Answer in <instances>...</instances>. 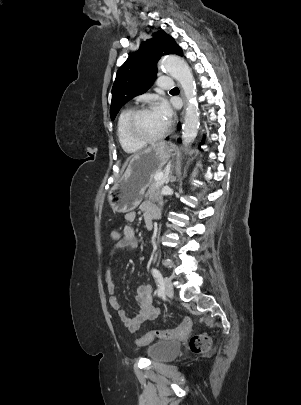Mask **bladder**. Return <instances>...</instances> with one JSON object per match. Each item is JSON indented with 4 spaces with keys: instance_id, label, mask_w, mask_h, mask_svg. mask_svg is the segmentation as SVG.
<instances>
[{
    "instance_id": "bladder-1",
    "label": "bladder",
    "mask_w": 301,
    "mask_h": 405,
    "mask_svg": "<svg viewBox=\"0 0 301 405\" xmlns=\"http://www.w3.org/2000/svg\"><path fill=\"white\" fill-rule=\"evenodd\" d=\"M180 351V344L176 341H157L146 348L148 357L152 361L167 362L175 358Z\"/></svg>"
}]
</instances>
